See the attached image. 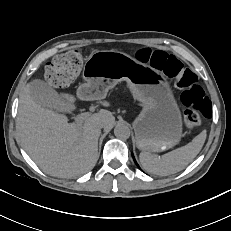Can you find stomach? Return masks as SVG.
<instances>
[{
  "instance_id": "obj_1",
  "label": "stomach",
  "mask_w": 231,
  "mask_h": 231,
  "mask_svg": "<svg viewBox=\"0 0 231 231\" xmlns=\"http://www.w3.org/2000/svg\"><path fill=\"white\" fill-rule=\"evenodd\" d=\"M78 94L81 98H104L109 89L127 81L142 111L134 121L137 147L160 152L176 145L182 137V118L166 77L150 66L118 51L93 52L83 65Z\"/></svg>"
}]
</instances>
